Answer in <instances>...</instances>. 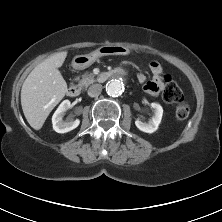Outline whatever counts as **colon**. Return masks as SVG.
I'll list each match as a JSON object with an SVG mask.
<instances>
[{"instance_id": "colon-1", "label": "colon", "mask_w": 222, "mask_h": 222, "mask_svg": "<svg viewBox=\"0 0 222 222\" xmlns=\"http://www.w3.org/2000/svg\"><path fill=\"white\" fill-rule=\"evenodd\" d=\"M163 98L168 103H177L175 116L178 120H185L190 113L187 103L184 102L180 87L171 79L166 78L163 87Z\"/></svg>"}]
</instances>
